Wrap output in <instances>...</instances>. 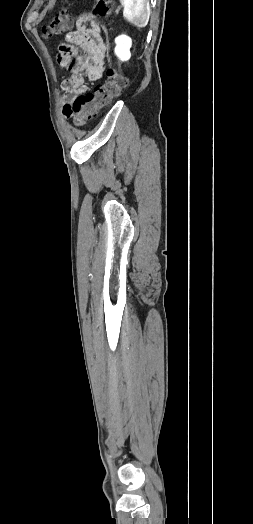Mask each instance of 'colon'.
Returning <instances> with one entry per match:
<instances>
[{"mask_svg": "<svg viewBox=\"0 0 253 524\" xmlns=\"http://www.w3.org/2000/svg\"><path fill=\"white\" fill-rule=\"evenodd\" d=\"M113 6V0H95L92 16L106 17ZM73 17L68 9H62L51 21L42 28V37L49 41L55 37L64 35L72 27ZM63 43V42H62ZM59 52L60 49H59ZM108 81L99 86L94 93L77 97L73 104L64 108V114L71 119L77 127L85 125L96 113L111 99L117 97L128 85V81L115 67L106 69Z\"/></svg>", "mask_w": 253, "mask_h": 524, "instance_id": "colon-1", "label": "colon"}]
</instances>
